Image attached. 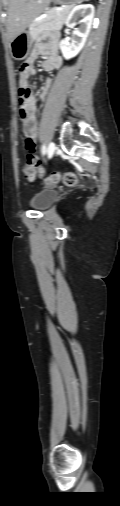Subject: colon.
Instances as JSON below:
<instances>
[{"label":"colon","instance_id":"1","mask_svg":"<svg viewBox=\"0 0 120 506\" xmlns=\"http://www.w3.org/2000/svg\"><path fill=\"white\" fill-rule=\"evenodd\" d=\"M26 69V65L23 63L20 66V72ZM29 89L19 86L18 96H19V108L20 110L23 108L25 100L29 96ZM26 147L29 150H33L35 146V142L32 138L27 136L25 139ZM23 175L28 180H35L36 178H40L47 185H55L62 182L66 186H74L78 183L79 178L76 173L67 172V173H59V172H51L46 174L44 170L41 168L39 160L36 156L30 155L28 157L27 163L22 168Z\"/></svg>","mask_w":120,"mask_h":506}]
</instances>
